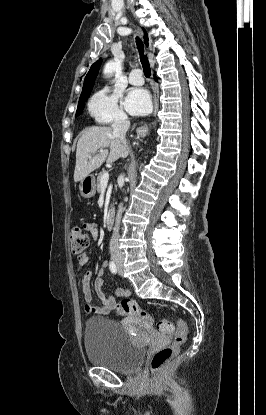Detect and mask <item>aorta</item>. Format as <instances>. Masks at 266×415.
Here are the masks:
<instances>
[{
    "label": "aorta",
    "instance_id": "762f6f07",
    "mask_svg": "<svg viewBox=\"0 0 266 415\" xmlns=\"http://www.w3.org/2000/svg\"><path fill=\"white\" fill-rule=\"evenodd\" d=\"M121 69V64L115 61H109L104 67V74L112 75L115 71Z\"/></svg>",
    "mask_w": 266,
    "mask_h": 415
}]
</instances>
